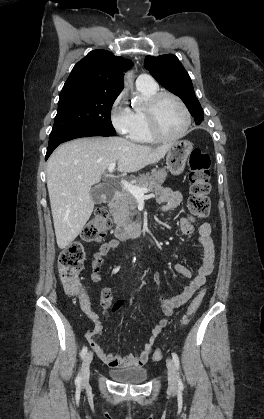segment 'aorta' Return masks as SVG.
<instances>
[{
    "instance_id": "1",
    "label": "aorta",
    "mask_w": 264,
    "mask_h": 419,
    "mask_svg": "<svg viewBox=\"0 0 264 419\" xmlns=\"http://www.w3.org/2000/svg\"><path fill=\"white\" fill-rule=\"evenodd\" d=\"M132 71H128L124 77V84L125 86L129 85L132 83ZM135 260V259H134Z\"/></svg>"
}]
</instances>
